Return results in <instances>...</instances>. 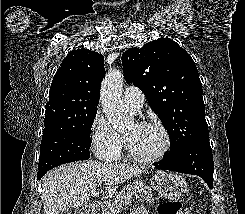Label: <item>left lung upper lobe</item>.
<instances>
[{"mask_svg":"<svg viewBox=\"0 0 245 214\" xmlns=\"http://www.w3.org/2000/svg\"><path fill=\"white\" fill-rule=\"evenodd\" d=\"M125 79L144 93L166 128L173 154L208 140L202 84L185 49L168 38L131 48L122 55Z\"/></svg>","mask_w":245,"mask_h":214,"instance_id":"5c2ea615","label":"left lung upper lobe"}]
</instances>
